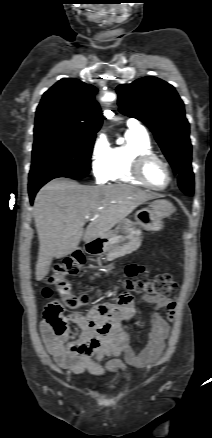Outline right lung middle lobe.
<instances>
[{"label":"right lung middle lobe","mask_w":212,"mask_h":438,"mask_svg":"<svg viewBox=\"0 0 212 438\" xmlns=\"http://www.w3.org/2000/svg\"><path fill=\"white\" fill-rule=\"evenodd\" d=\"M29 176L44 173L88 174L95 133L58 129L34 132Z\"/></svg>","instance_id":"1"}]
</instances>
